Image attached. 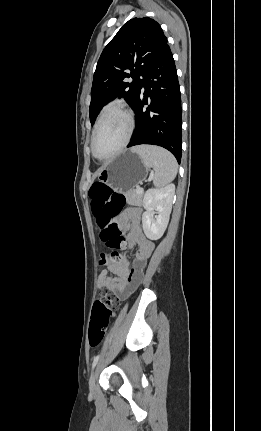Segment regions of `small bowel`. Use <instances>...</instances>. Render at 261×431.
<instances>
[{"label": "small bowel", "instance_id": "c3829d8e", "mask_svg": "<svg viewBox=\"0 0 261 431\" xmlns=\"http://www.w3.org/2000/svg\"><path fill=\"white\" fill-rule=\"evenodd\" d=\"M141 209L131 207L119 216V226L128 231L126 244L129 248L136 247L131 265L122 256L118 263H106L98 277L99 287L106 289L120 298L126 297L141 281L142 272L147 260L152 255L154 243L145 238L140 225Z\"/></svg>", "mask_w": 261, "mask_h": 431}]
</instances>
